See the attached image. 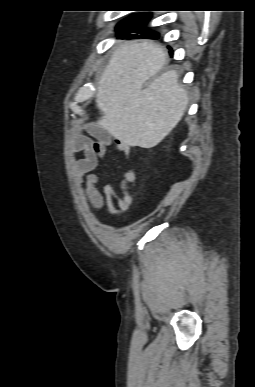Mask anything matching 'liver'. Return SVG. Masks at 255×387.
Instances as JSON below:
<instances>
[{"mask_svg":"<svg viewBox=\"0 0 255 387\" xmlns=\"http://www.w3.org/2000/svg\"><path fill=\"white\" fill-rule=\"evenodd\" d=\"M168 53L150 40L120 44L97 86L98 124L122 143L141 148L159 144L178 124L188 105L178 73L170 70L144 87L166 64Z\"/></svg>","mask_w":255,"mask_h":387,"instance_id":"6515ba94","label":"liver"}]
</instances>
